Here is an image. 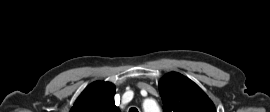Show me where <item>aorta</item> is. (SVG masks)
<instances>
[{"label": "aorta", "instance_id": "obj_1", "mask_svg": "<svg viewBox=\"0 0 270 112\" xmlns=\"http://www.w3.org/2000/svg\"><path fill=\"white\" fill-rule=\"evenodd\" d=\"M144 109H145V112H160V109L157 106V104L153 100H150V99L144 102Z\"/></svg>", "mask_w": 270, "mask_h": 112}]
</instances>
